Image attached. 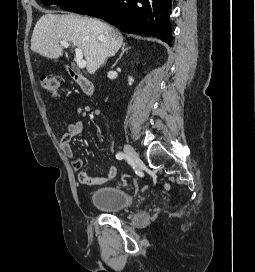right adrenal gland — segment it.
<instances>
[{"label": "right adrenal gland", "mask_w": 255, "mask_h": 272, "mask_svg": "<svg viewBox=\"0 0 255 272\" xmlns=\"http://www.w3.org/2000/svg\"><path fill=\"white\" fill-rule=\"evenodd\" d=\"M130 48H131V47H126V43H123L122 48H121L122 52H121L119 58L116 60L114 66L118 63V61L121 59V57L123 56V54H124L128 49H130Z\"/></svg>", "instance_id": "obj_1"}]
</instances>
